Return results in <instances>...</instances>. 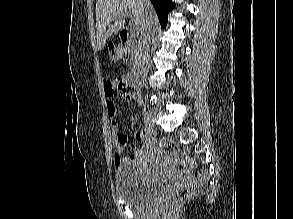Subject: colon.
<instances>
[{"mask_svg": "<svg viewBox=\"0 0 293 219\" xmlns=\"http://www.w3.org/2000/svg\"><path fill=\"white\" fill-rule=\"evenodd\" d=\"M107 55L109 62L114 64L126 60L128 58V51L127 48L123 45H110L107 50ZM113 86L117 89V93L120 98L127 99L129 97L130 91L122 82L115 81L113 82ZM160 147L166 153L171 155L177 156L179 153L177 142L171 138L161 139ZM180 160L185 166L189 168H192L194 166L193 159L185 153L180 155ZM208 179L209 174L206 171L199 172L194 180L185 182L178 188H176L168 198L167 203L169 205H177L182 203L183 201L190 198L200 188L202 184L208 181Z\"/></svg>", "mask_w": 293, "mask_h": 219, "instance_id": "5ec220e1", "label": "colon"}]
</instances>
